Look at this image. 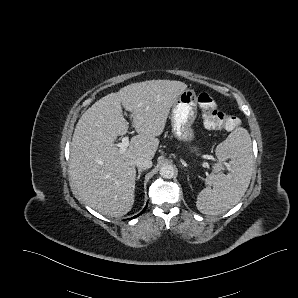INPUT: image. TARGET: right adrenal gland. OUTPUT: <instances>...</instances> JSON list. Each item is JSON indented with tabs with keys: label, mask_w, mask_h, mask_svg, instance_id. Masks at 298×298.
Segmentation results:
<instances>
[{
	"label": "right adrenal gland",
	"mask_w": 298,
	"mask_h": 298,
	"mask_svg": "<svg viewBox=\"0 0 298 298\" xmlns=\"http://www.w3.org/2000/svg\"><path fill=\"white\" fill-rule=\"evenodd\" d=\"M146 170L145 168H138V173H137V176H136V180H139L140 179V176H141V173Z\"/></svg>",
	"instance_id": "1"
}]
</instances>
